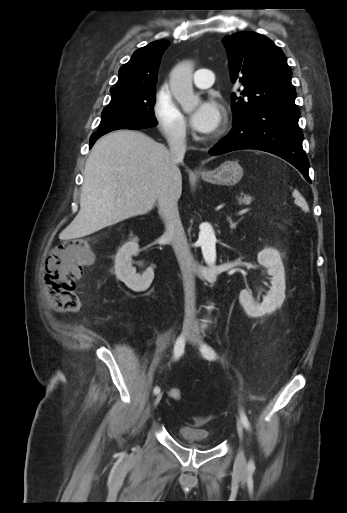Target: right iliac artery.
I'll use <instances>...</instances> for the list:
<instances>
[{"label":"right iliac artery","instance_id":"82829eb1","mask_svg":"<svg viewBox=\"0 0 347 513\" xmlns=\"http://www.w3.org/2000/svg\"><path fill=\"white\" fill-rule=\"evenodd\" d=\"M184 347H185V341H184V338L182 336H180L175 345H174V360H178L181 355L184 353ZM154 394H159L160 392V388L158 386H156L153 390Z\"/></svg>","mask_w":347,"mask_h":513}]
</instances>
